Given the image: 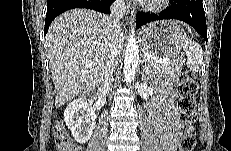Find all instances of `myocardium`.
Here are the masks:
<instances>
[{
  "label": "myocardium",
  "instance_id": "1",
  "mask_svg": "<svg viewBox=\"0 0 231 151\" xmlns=\"http://www.w3.org/2000/svg\"><path fill=\"white\" fill-rule=\"evenodd\" d=\"M168 2V0H152L148 2V7L150 10L156 11L162 9Z\"/></svg>",
  "mask_w": 231,
  "mask_h": 151
}]
</instances>
